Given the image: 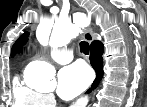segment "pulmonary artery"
<instances>
[{"mask_svg": "<svg viewBox=\"0 0 147 107\" xmlns=\"http://www.w3.org/2000/svg\"><path fill=\"white\" fill-rule=\"evenodd\" d=\"M52 59L60 64H66L73 59V54L69 50H53L50 53Z\"/></svg>", "mask_w": 147, "mask_h": 107, "instance_id": "obj_1", "label": "pulmonary artery"}]
</instances>
